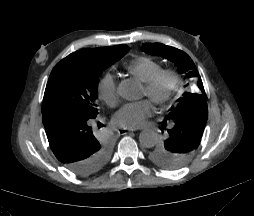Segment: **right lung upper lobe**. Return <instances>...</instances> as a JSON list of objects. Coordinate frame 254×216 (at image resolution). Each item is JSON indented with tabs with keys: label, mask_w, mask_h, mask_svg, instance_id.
Returning a JSON list of instances; mask_svg holds the SVG:
<instances>
[{
	"label": "right lung upper lobe",
	"mask_w": 254,
	"mask_h": 216,
	"mask_svg": "<svg viewBox=\"0 0 254 216\" xmlns=\"http://www.w3.org/2000/svg\"><path fill=\"white\" fill-rule=\"evenodd\" d=\"M97 49H107V50H111V51H114L117 53H121V52L128 51L129 47L127 45H118V46H113V47H104V48H97Z\"/></svg>",
	"instance_id": "obj_1"
}]
</instances>
